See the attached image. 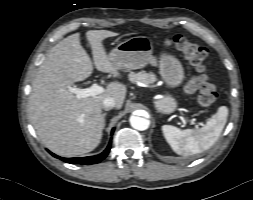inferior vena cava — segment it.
Returning a JSON list of instances; mask_svg holds the SVG:
<instances>
[{
	"instance_id": "1",
	"label": "inferior vena cava",
	"mask_w": 253,
	"mask_h": 200,
	"mask_svg": "<svg viewBox=\"0 0 253 200\" xmlns=\"http://www.w3.org/2000/svg\"><path fill=\"white\" fill-rule=\"evenodd\" d=\"M116 106V102L113 98H105L102 103V109L110 110Z\"/></svg>"
}]
</instances>
